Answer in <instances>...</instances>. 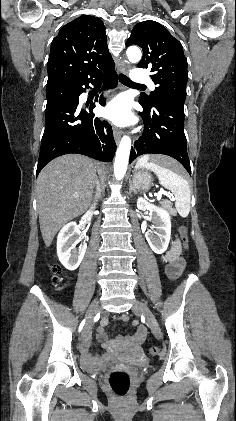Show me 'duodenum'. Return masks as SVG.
<instances>
[{
    "label": "duodenum",
    "mask_w": 236,
    "mask_h": 421,
    "mask_svg": "<svg viewBox=\"0 0 236 421\" xmlns=\"http://www.w3.org/2000/svg\"><path fill=\"white\" fill-rule=\"evenodd\" d=\"M164 261L167 263V271L171 277H174L180 273L183 267V262L179 258L178 251L175 248H173L168 253H166V255L164 256ZM132 339L137 340V338H132ZM84 344L85 346H87L89 344V339L85 340ZM105 345L109 347L111 344L106 343ZM108 358H109L108 355L92 357L89 355V353L85 349L82 351V355H81V360H82L83 365L87 369H90V370H93L99 367Z\"/></svg>",
    "instance_id": "obj_1"
}]
</instances>
